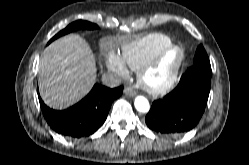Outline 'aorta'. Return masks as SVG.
<instances>
[{"mask_svg": "<svg viewBox=\"0 0 249 165\" xmlns=\"http://www.w3.org/2000/svg\"><path fill=\"white\" fill-rule=\"evenodd\" d=\"M135 108L138 112H148L150 109V104L144 96H137L134 101Z\"/></svg>", "mask_w": 249, "mask_h": 165, "instance_id": "762f6f07", "label": "aorta"}]
</instances>
